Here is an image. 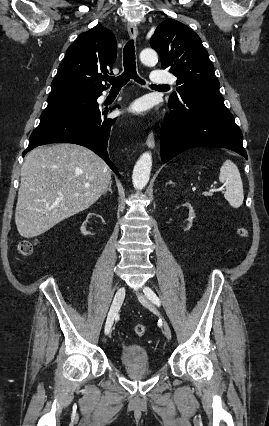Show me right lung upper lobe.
Segmentation results:
<instances>
[{"instance_id": "1", "label": "right lung upper lobe", "mask_w": 269, "mask_h": 426, "mask_svg": "<svg viewBox=\"0 0 269 426\" xmlns=\"http://www.w3.org/2000/svg\"><path fill=\"white\" fill-rule=\"evenodd\" d=\"M116 60V39L103 26L81 33L69 46L52 81V91L76 90L102 93V73L106 74Z\"/></svg>"}]
</instances>
